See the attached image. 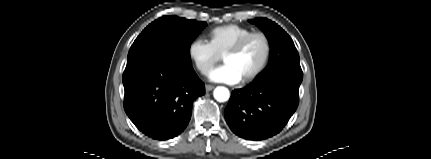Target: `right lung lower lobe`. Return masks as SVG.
I'll return each mask as SVG.
<instances>
[{"label":"right lung lower lobe","instance_id":"obj_1","mask_svg":"<svg viewBox=\"0 0 431 159\" xmlns=\"http://www.w3.org/2000/svg\"><path fill=\"white\" fill-rule=\"evenodd\" d=\"M123 85L126 114L156 140L178 136L190 121L194 100L205 93L191 65L158 53L127 63Z\"/></svg>","mask_w":431,"mask_h":159}]
</instances>
